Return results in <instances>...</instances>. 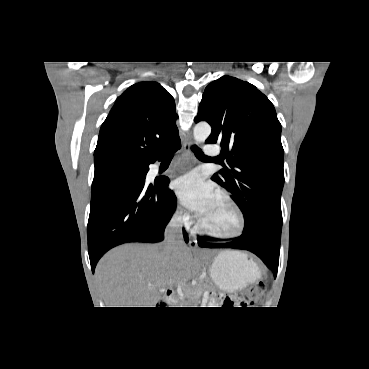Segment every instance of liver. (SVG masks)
<instances>
[{
	"instance_id": "6515ba94",
	"label": "liver",
	"mask_w": 369,
	"mask_h": 369,
	"mask_svg": "<svg viewBox=\"0 0 369 369\" xmlns=\"http://www.w3.org/2000/svg\"><path fill=\"white\" fill-rule=\"evenodd\" d=\"M196 257L183 246L167 253L162 244H125L99 261L95 276L107 307H156L161 290L196 275Z\"/></svg>"
}]
</instances>
